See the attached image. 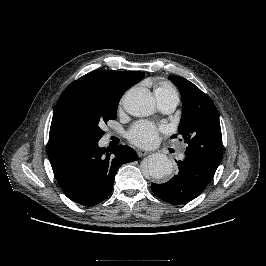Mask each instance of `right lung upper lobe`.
<instances>
[{
    "label": "right lung upper lobe",
    "mask_w": 266,
    "mask_h": 266,
    "mask_svg": "<svg viewBox=\"0 0 266 266\" xmlns=\"http://www.w3.org/2000/svg\"><path fill=\"white\" fill-rule=\"evenodd\" d=\"M144 73L98 70L90 72L68 85L59 100L69 94L109 95L121 98L125 91L139 82Z\"/></svg>",
    "instance_id": "1"
}]
</instances>
